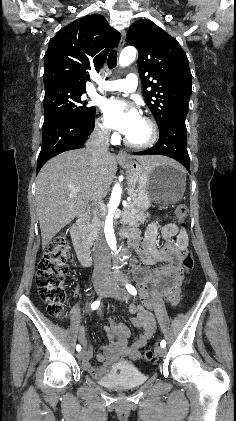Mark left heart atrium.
Listing matches in <instances>:
<instances>
[{"label": "left heart atrium", "mask_w": 236, "mask_h": 421, "mask_svg": "<svg viewBox=\"0 0 236 421\" xmlns=\"http://www.w3.org/2000/svg\"><path fill=\"white\" fill-rule=\"evenodd\" d=\"M108 121L119 132L129 135L141 121L140 113L129 104L119 99H109L104 104Z\"/></svg>", "instance_id": "left-heart-atrium-1"}]
</instances>
